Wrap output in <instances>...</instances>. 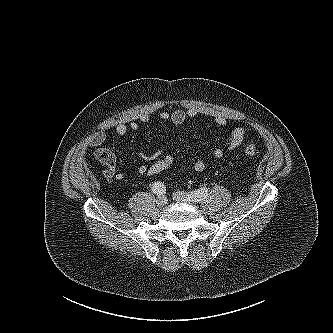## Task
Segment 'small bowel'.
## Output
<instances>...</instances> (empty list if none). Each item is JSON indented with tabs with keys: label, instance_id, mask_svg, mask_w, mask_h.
<instances>
[{
	"label": "small bowel",
	"instance_id": "1",
	"mask_svg": "<svg viewBox=\"0 0 333 333\" xmlns=\"http://www.w3.org/2000/svg\"><path fill=\"white\" fill-rule=\"evenodd\" d=\"M197 113L195 110L190 109L184 111L182 109H175L173 111L163 110L159 113V117L162 121H170L174 126H181L185 123L187 119L196 117ZM215 124L217 126H224L226 124V119L223 116H216L214 118ZM138 129V124L132 122L129 125L121 123L115 128V133L118 136H124L128 131H136ZM245 129L242 126L235 127L226 142V148H215L212 152L213 157L217 160L223 158L226 153L232 152L237 149L245 139ZM106 140V135L102 131H98L92 135L90 138V146L94 148L95 159L103 166L102 175L105 179L111 180H122L124 174L117 171L116 169V157L114 153L104 146ZM162 155V151L157 150L153 153L141 152L139 154L140 158L145 162H153L158 157ZM147 165H140L138 167V172L140 174H146ZM206 168V163L203 159H197L193 164V169L196 172H203Z\"/></svg>",
	"mask_w": 333,
	"mask_h": 333
}]
</instances>
